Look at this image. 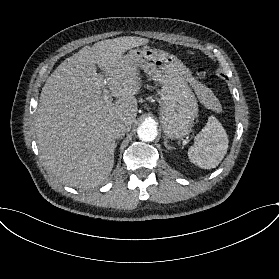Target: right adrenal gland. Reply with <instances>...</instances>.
Listing matches in <instances>:
<instances>
[{
	"label": "right adrenal gland",
	"mask_w": 279,
	"mask_h": 279,
	"mask_svg": "<svg viewBox=\"0 0 279 279\" xmlns=\"http://www.w3.org/2000/svg\"><path fill=\"white\" fill-rule=\"evenodd\" d=\"M117 147V143H115V148Z\"/></svg>",
	"instance_id": "obj_1"
}]
</instances>
